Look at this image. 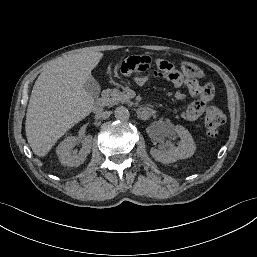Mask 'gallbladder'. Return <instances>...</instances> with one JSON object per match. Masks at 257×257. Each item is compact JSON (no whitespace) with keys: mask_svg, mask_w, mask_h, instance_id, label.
Returning a JSON list of instances; mask_svg holds the SVG:
<instances>
[{"mask_svg":"<svg viewBox=\"0 0 257 257\" xmlns=\"http://www.w3.org/2000/svg\"><path fill=\"white\" fill-rule=\"evenodd\" d=\"M84 89L94 98L99 96L100 85L97 80L92 76L84 84Z\"/></svg>","mask_w":257,"mask_h":257,"instance_id":"obj_1","label":"gallbladder"}]
</instances>
